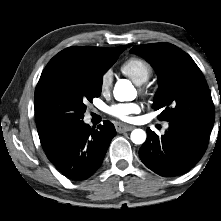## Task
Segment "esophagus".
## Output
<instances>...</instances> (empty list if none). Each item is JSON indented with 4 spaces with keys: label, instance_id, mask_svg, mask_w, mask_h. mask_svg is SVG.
Returning <instances> with one entry per match:
<instances>
[{
    "label": "esophagus",
    "instance_id": "1",
    "mask_svg": "<svg viewBox=\"0 0 221 221\" xmlns=\"http://www.w3.org/2000/svg\"><path fill=\"white\" fill-rule=\"evenodd\" d=\"M115 128H116L117 132L123 133V132L131 131L135 127L130 126V125H125V124H122V123H115Z\"/></svg>",
    "mask_w": 221,
    "mask_h": 221
}]
</instances>
